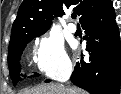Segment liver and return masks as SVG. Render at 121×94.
<instances>
[{
    "mask_svg": "<svg viewBox=\"0 0 121 94\" xmlns=\"http://www.w3.org/2000/svg\"><path fill=\"white\" fill-rule=\"evenodd\" d=\"M19 94H87L77 87H65L60 84H41L31 89H25Z\"/></svg>",
    "mask_w": 121,
    "mask_h": 94,
    "instance_id": "liver-1",
    "label": "liver"
}]
</instances>
